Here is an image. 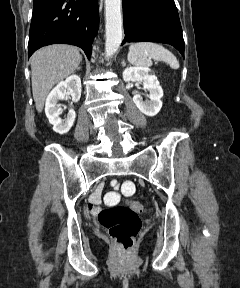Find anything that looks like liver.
<instances>
[{
	"label": "liver",
	"instance_id": "1",
	"mask_svg": "<svg viewBox=\"0 0 240 288\" xmlns=\"http://www.w3.org/2000/svg\"><path fill=\"white\" fill-rule=\"evenodd\" d=\"M81 60L77 48L64 44L43 47L31 56L32 93L39 113L52 87L74 73Z\"/></svg>",
	"mask_w": 240,
	"mask_h": 288
}]
</instances>
